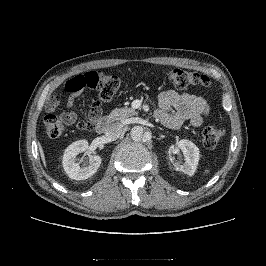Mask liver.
I'll list each match as a JSON object with an SVG mask.
<instances>
[{
  "label": "liver",
  "instance_id": "liver-1",
  "mask_svg": "<svg viewBox=\"0 0 266 266\" xmlns=\"http://www.w3.org/2000/svg\"><path fill=\"white\" fill-rule=\"evenodd\" d=\"M39 152H40V156H41V159L43 161V164H44V166H46L45 154H44L43 148L40 144H39Z\"/></svg>",
  "mask_w": 266,
  "mask_h": 266
}]
</instances>
